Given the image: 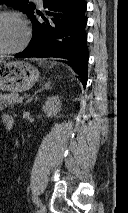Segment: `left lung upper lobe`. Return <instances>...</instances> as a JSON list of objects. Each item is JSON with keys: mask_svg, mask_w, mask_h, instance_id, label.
Listing matches in <instances>:
<instances>
[{"mask_svg": "<svg viewBox=\"0 0 128 213\" xmlns=\"http://www.w3.org/2000/svg\"><path fill=\"white\" fill-rule=\"evenodd\" d=\"M5 3L9 6L18 8L19 10L23 11L28 16L33 12L35 9V5L28 0H0V4Z\"/></svg>", "mask_w": 128, "mask_h": 213, "instance_id": "1", "label": "left lung upper lobe"}]
</instances>
